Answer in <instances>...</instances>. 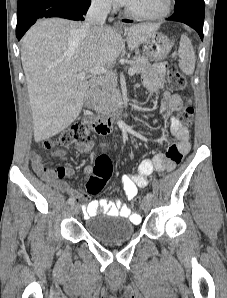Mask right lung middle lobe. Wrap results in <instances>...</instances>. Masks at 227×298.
Returning <instances> with one entry per match:
<instances>
[{
    "label": "right lung middle lobe",
    "mask_w": 227,
    "mask_h": 298,
    "mask_svg": "<svg viewBox=\"0 0 227 298\" xmlns=\"http://www.w3.org/2000/svg\"><path fill=\"white\" fill-rule=\"evenodd\" d=\"M30 0H18V7L29 2Z\"/></svg>",
    "instance_id": "obj_1"
}]
</instances>
